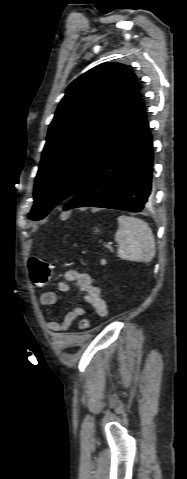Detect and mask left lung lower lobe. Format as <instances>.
Returning a JSON list of instances; mask_svg holds the SVG:
<instances>
[{"instance_id":"left-lung-lower-lobe-1","label":"left lung lower lobe","mask_w":187,"mask_h":479,"mask_svg":"<svg viewBox=\"0 0 187 479\" xmlns=\"http://www.w3.org/2000/svg\"><path fill=\"white\" fill-rule=\"evenodd\" d=\"M152 135L140 91L112 147L63 210L102 207L141 212L152 194Z\"/></svg>"}]
</instances>
